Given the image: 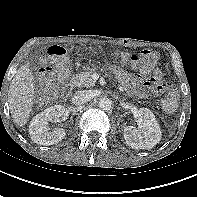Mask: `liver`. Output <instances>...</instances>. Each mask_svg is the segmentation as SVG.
<instances>
[{"label":"liver","instance_id":"obj_1","mask_svg":"<svg viewBox=\"0 0 197 197\" xmlns=\"http://www.w3.org/2000/svg\"><path fill=\"white\" fill-rule=\"evenodd\" d=\"M34 94V77L27 63L18 69L9 87L10 113L16 125L22 127L28 122Z\"/></svg>","mask_w":197,"mask_h":197}]
</instances>
